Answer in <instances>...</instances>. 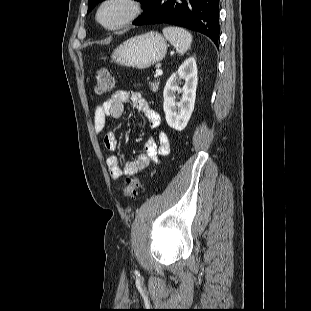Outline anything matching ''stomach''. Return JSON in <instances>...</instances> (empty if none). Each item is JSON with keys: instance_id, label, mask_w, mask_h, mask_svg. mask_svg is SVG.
Segmentation results:
<instances>
[{"instance_id": "0dacf381", "label": "stomach", "mask_w": 311, "mask_h": 311, "mask_svg": "<svg viewBox=\"0 0 311 311\" xmlns=\"http://www.w3.org/2000/svg\"><path fill=\"white\" fill-rule=\"evenodd\" d=\"M167 42L158 32L150 31L131 37L114 49L111 61L125 67L146 69L161 61Z\"/></svg>"}]
</instances>
